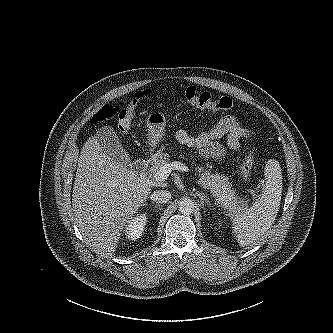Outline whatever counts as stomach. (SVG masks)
<instances>
[{
  "label": "stomach",
  "mask_w": 333,
  "mask_h": 333,
  "mask_svg": "<svg viewBox=\"0 0 333 333\" xmlns=\"http://www.w3.org/2000/svg\"><path fill=\"white\" fill-rule=\"evenodd\" d=\"M148 129V144L155 148L165 137L166 118L164 114L150 113L146 119Z\"/></svg>",
  "instance_id": "stomach-1"
}]
</instances>
